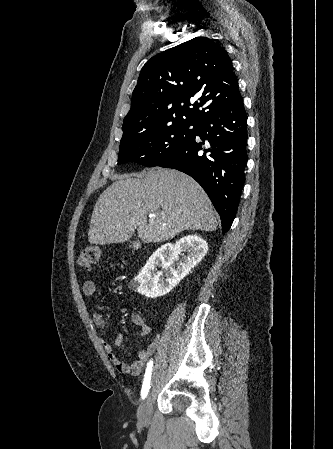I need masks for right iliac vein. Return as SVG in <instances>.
Wrapping results in <instances>:
<instances>
[{"instance_id":"obj_1","label":"right iliac vein","mask_w":333,"mask_h":449,"mask_svg":"<svg viewBox=\"0 0 333 449\" xmlns=\"http://www.w3.org/2000/svg\"><path fill=\"white\" fill-rule=\"evenodd\" d=\"M152 413V396L148 394L144 402L138 410V423L140 425H147L150 422Z\"/></svg>"}]
</instances>
